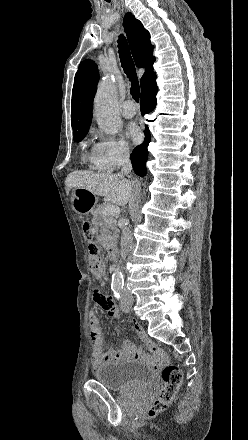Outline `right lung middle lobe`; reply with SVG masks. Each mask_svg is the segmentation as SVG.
Segmentation results:
<instances>
[{
    "mask_svg": "<svg viewBox=\"0 0 248 440\" xmlns=\"http://www.w3.org/2000/svg\"><path fill=\"white\" fill-rule=\"evenodd\" d=\"M87 132H88V130L77 132V133H73L74 134V141L75 142H80L85 137Z\"/></svg>",
    "mask_w": 248,
    "mask_h": 440,
    "instance_id": "obj_1",
    "label": "right lung middle lobe"
}]
</instances>
